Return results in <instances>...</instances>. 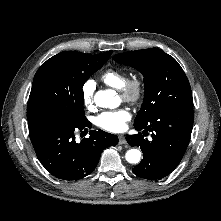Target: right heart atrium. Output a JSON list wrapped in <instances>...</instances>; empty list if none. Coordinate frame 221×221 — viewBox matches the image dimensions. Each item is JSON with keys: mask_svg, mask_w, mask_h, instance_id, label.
<instances>
[{"mask_svg": "<svg viewBox=\"0 0 221 221\" xmlns=\"http://www.w3.org/2000/svg\"><path fill=\"white\" fill-rule=\"evenodd\" d=\"M95 82L91 79L87 80L84 82L82 85V99L84 105L88 109H93L94 108V93H95Z\"/></svg>", "mask_w": 221, "mask_h": 221, "instance_id": "d8ad5b80", "label": "right heart atrium"}]
</instances>
